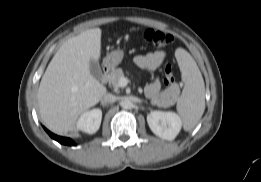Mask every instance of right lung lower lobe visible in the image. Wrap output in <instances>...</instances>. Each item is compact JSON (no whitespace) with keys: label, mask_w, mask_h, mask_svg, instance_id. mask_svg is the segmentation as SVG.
<instances>
[{"label":"right lung lower lobe","mask_w":261,"mask_h":182,"mask_svg":"<svg viewBox=\"0 0 261 182\" xmlns=\"http://www.w3.org/2000/svg\"><path fill=\"white\" fill-rule=\"evenodd\" d=\"M46 130V132L56 141H58L59 143L61 144H64V145H76L71 139L69 138H65V137H60V136H57V135H54L53 133H51L49 130H47L46 128H44Z\"/></svg>","instance_id":"right-lung-lower-lobe-1"}]
</instances>
